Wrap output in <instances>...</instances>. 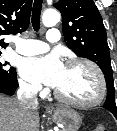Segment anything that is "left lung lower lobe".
Returning a JSON list of instances; mask_svg holds the SVG:
<instances>
[{
    "instance_id": "0a47b994",
    "label": "left lung lower lobe",
    "mask_w": 117,
    "mask_h": 131,
    "mask_svg": "<svg viewBox=\"0 0 117 131\" xmlns=\"http://www.w3.org/2000/svg\"><path fill=\"white\" fill-rule=\"evenodd\" d=\"M114 116L116 117V119H117V113H114Z\"/></svg>"
}]
</instances>
